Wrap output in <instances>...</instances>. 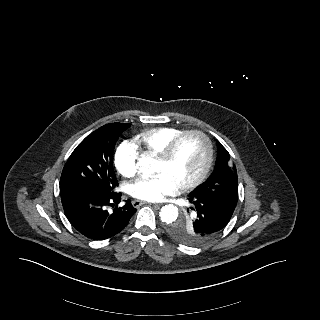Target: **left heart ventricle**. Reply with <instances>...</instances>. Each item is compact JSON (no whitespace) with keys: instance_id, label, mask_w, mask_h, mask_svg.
Returning a JSON list of instances; mask_svg holds the SVG:
<instances>
[{"instance_id":"1","label":"left heart ventricle","mask_w":320,"mask_h":320,"mask_svg":"<svg viewBox=\"0 0 320 320\" xmlns=\"http://www.w3.org/2000/svg\"><path fill=\"white\" fill-rule=\"evenodd\" d=\"M204 160L203 140L198 136H189L182 141L171 161L163 162L158 159L156 173L166 174L177 186H180L201 172Z\"/></svg>"}]
</instances>
